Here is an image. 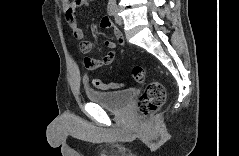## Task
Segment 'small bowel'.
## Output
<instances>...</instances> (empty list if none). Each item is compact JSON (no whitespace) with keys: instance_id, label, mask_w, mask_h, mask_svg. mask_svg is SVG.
Listing matches in <instances>:
<instances>
[{"instance_id":"small-bowel-1","label":"small bowel","mask_w":239,"mask_h":156,"mask_svg":"<svg viewBox=\"0 0 239 156\" xmlns=\"http://www.w3.org/2000/svg\"><path fill=\"white\" fill-rule=\"evenodd\" d=\"M89 4L88 0H75L71 2L69 0L62 1V8L65 14L66 21L72 30V34L76 40H82L84 37L82 29L78 25V10ZM100 26L104 29L112 28L111 20L108 17H104L100 21ZM115 36L119 43L124 46L125 42L121 33L114 29ZM105 46L109 49V52L102 59H94L86 57L84 59L85 67L88 70H98L104 66L110 65L116 58V44L113 41H105ZM79 48L81 52L88 53L93 48L92 41H81Z\"/></svg>"}]
</instances>
